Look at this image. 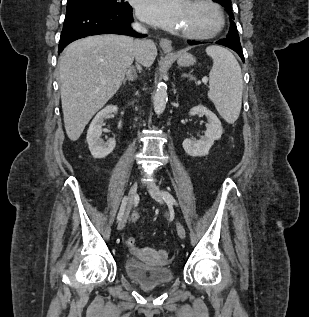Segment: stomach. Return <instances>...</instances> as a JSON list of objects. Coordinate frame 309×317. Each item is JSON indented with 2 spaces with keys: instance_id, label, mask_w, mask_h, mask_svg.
Segmentation results:
<instances>
[{
  "instance_id": "0dacf381",
  "label": "stomach",
  "mask_w": 309,
  "mask_h": 317,
  "mask_svg": "<svg viewBox=\"0 0 309 317\" xmlns=\"http://www.w3.org/2000/svg\"><path fill=\"white\" fill-rule=\"evenodd\" d=\"M176 58L178 65L183 67L192 66L196 62L195 57L185 51L179 52Z\"/></svg>"
}]
</instances>
